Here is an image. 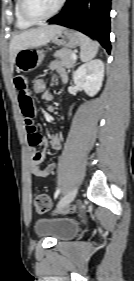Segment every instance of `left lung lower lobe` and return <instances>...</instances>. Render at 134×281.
Segmentation results:
<instances>
[{
  "mask_svg": "<svg viewBox=\"0 0 134 281\" xmlns=\"http://www.w3.org/2000/svg\"><path fill=\"white\" fill-rule=\"evenodd\" d=\"M110 10L111 0H68L63 11L48 22L93 36L110 53Z\"/></svg>",
  "mask_w": 134,
  "mask_h": 281,
  "instance_id": "0a47b994",
  "label": "left lung lower lobe"
}]
</instances>
